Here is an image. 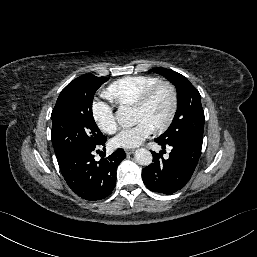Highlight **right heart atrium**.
<instances>
[{
	"instance_id": "right-heart-atrium-1",
	"label": "right heart atrium",
	"mask_w": 257,
	"mask_h": 257,
	"mask_svg": "<svg viewBox=\"0 0 257 257\" xmlns=\"http://www.w3.org/2000/svg\"><path fill=\"white\" fill-rule=\"evenodd\" d=\"M95 107L93 108V119L97 125V127L106 134H113L117 130V122L115 116L112 113H109L107 118L101 119L99 115L95 111Z\"/></svg>"
}]
</instances>
